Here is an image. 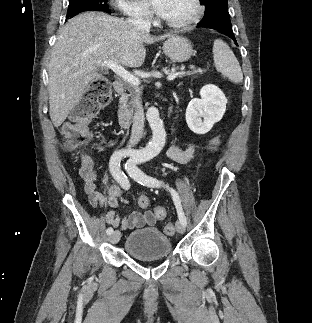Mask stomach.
<instances>
[{"instance_id": "1", "label": "stomach", "mask_w": 312, "mask_h": 323, "mask_svg": "<svg viewBox=\"0 0 312 323\" xmlns=\"http://www.w3.org/2000/svg\"><path fill=\"white\" fill-rule=\"evenodd\" d=\"M163 52L171 62H187L194 54L191 42L181 36H169L163 44Z\"/></svg>"}]
</instances>
